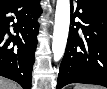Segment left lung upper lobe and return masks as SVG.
Returning <instances> with one entry per match:
<instances>
[{"mask_svg":"<svg viewBox=\"0 0 107 89\" xmlns=\"http://www.w3.org/2000/svg\"><path fill=\"white\" fill-rule=\"evenodd\" d=\"M80 1L85 4L107 8V0H80Z\"/></svg>","mask_w":107,"mask_h":89,"instance_id":"1","label":"left lung upper lobe"}]
</instances>
